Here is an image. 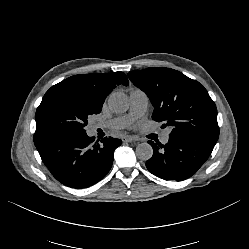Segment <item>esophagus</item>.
I'll return each instance as SVG.
<instances>
[{
    "label": "esophagus",
    "mask_w": 249,
    "mask_h": 249,
    "mask_svg": "<svg viewBox=\"0 0 249 249\" xmlns=\"http://www.w3.org/2000/svg\"><path fill=\"white\" fill-rule=\"evenodd\" d=\"M133 140H134V137L131 136V135H125V136L122 137V141H123V142L130 143V142H132Z\"/></svg>",
    "instance_id": "esophagus-1"
}]
</instances>
